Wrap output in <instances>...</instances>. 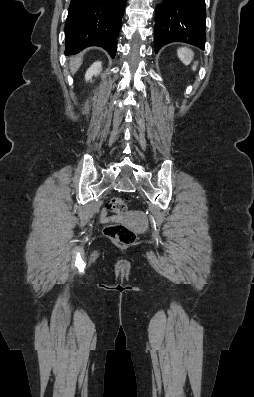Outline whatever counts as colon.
<instances>
[{"mask_svg": "<svg viewBox=\"0 0 254 397\" xmlns=\"http://www.w3.org/2000/svg\"><path fill=\"white\" fill-rule=\"evenodd\" d=\"M110 208L113 212L121 214L126 212L127 203L123 198L114 197L110 201ZM105 235L113 242L120 245H131L136 234L123 224H112L104 229Z\"/></svg>", "mask_w": 254, "mask_h": 397, "instance_id": "colon-1", "label": "colon"}]
</instances>
